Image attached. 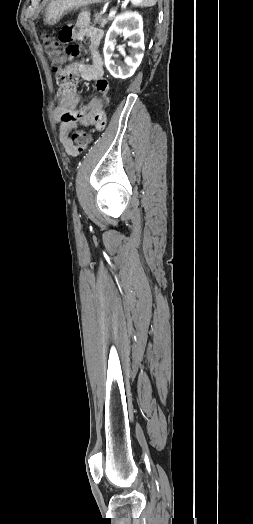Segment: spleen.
Returning a JSON list of instances; mask_svg holds the SVG:
<instances>
[{"label":"spleen","instance_id":"3e777b00","mask_svg":"<svg viewBox=\"0 0 253 524\" xmlns=\"http://www.w3.org/2000/svg\"><path fill=\"white\" fill-rule=\"evenodd\" d=\"M134 6L151 7L156 4V0H130Z\"/></svg>","mask_w":253,"mask_h":524}]
</instances>
